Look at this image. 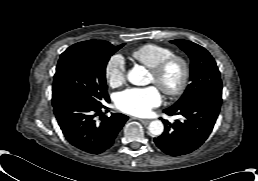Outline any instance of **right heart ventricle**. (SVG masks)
<instances>
[{
    "mask_svg": "<svg viewBox=\"0 0 258 181\" xmlns=\"http://www.w3.org/2000/svg\"><path fill=\"white\" fill-rule=\"evenodd\" d=\"M171 54L172 50L168 47L146 43L135 49L131 56L144 66L152 68Z\"/></svg>",
    "mask_w": 258,
    "mask_h": 181,
    "instance_id": "1",
    "label": "right heart ventricle"
}]
</instances>
